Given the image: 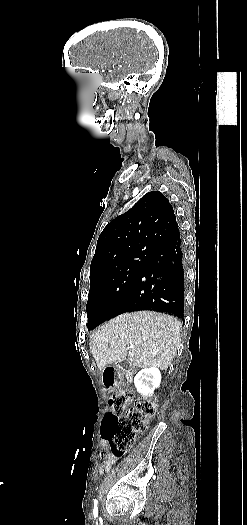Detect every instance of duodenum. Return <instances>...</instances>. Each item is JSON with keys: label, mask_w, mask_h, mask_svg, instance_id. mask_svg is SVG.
<instances>
[{"label": "duodenum", "mask_w": 247, "mask_h": 525, "mask_svg": "<svg viewBox=\"0 0 247 525\" xmlns=\"http://www.w3.org/2000/svg\"><path fill=\"white\" fill-rule=\"evenodd\" d=\"M124 373L129 375L128 363L125 360L118 361L113 367H106L103 372L104 386L108 389L114 388Z\"/></svg>", "instance_id": "1"}]
</instances>
